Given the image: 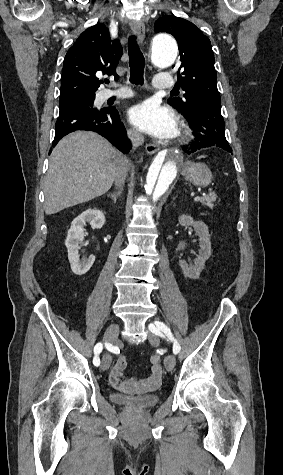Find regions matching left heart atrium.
<instances>
[{"instance_id": "39dd6f15", "label": "left heart atrium", "mask_w": 283, "mask_h": 475, "mask_svg": "<svg viewBox=\"0 0 283 475\" xmlns=\"http://www.w3.org/2000/svg\"><path fill=\"white\" fill-rule=\"evenodd\" d=\"M128 119L134 129L155 138L170 139L178 134L174 112L155 100H146L133 106Z\"/></svg>"}]
</instances>
